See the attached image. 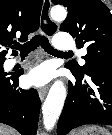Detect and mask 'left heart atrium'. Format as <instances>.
Listing matches in <instances>:
<instances>
[{
  "label": "left heart atrium",
  "mask_w": 112,
  "mask_h": 135,
  "mask_svg": "<svg viewBox=\"0 0 112 135\" xmlns=\"http://www.w3.org/2000/svg\"><path fill=\"white\" fill-rule=\"evenodd\" d=\"M52 76V70L45 65H41L31 70L26 81L30 86H43L50 81Z\"/></svg>",
  "instance_id": "39dd6f15"
}]
</instances>
